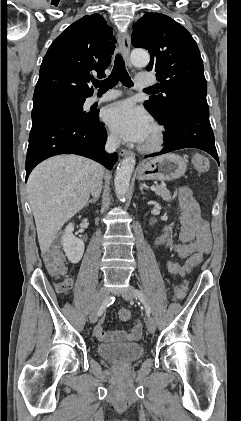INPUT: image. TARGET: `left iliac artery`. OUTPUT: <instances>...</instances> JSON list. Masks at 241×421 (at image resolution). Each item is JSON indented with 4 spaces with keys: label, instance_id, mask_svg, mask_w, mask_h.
I'll return each instance as SVG.
<instances>
[{
    "label": "left iliac artery",
    "instance_id": "44dca946",
    "mask_svg": "<svg viewBox=\"0 0 241 421\" xmlns=\"http://www.w3.org/2000/svg\"><path fill=\"white\" fill-rule=\"evenodd\" d=\"M135 295L139 298V300L143 303V305H144V307H145V310H146V314H147V316L149 317L150 316V313H151V308H150V306L148 305V303L146 302V300H145V298H144V296H143V294L139 291V290H136L135 291Z\"/></svg>",
    "mask_w": 241,
    "mask_h": 421
}]
</instances>
